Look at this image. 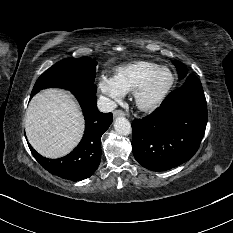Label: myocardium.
I'll list each match as a JSON object with an SVG mask.
<instances>
[{"instance_id": "1", "label": "myocardium", "mask_w": 233, "mask_h": 233, "mask_svg": "<svg viewBox=\"0 0 233 233\" xmlns=\"http://www.w3.org/2000/svg\"><path fill=\"white\" fill-rule=\"evenodd\" d=\"M163 71H166L169 73L168 83L155 97L148 99L146 97V94H147V91L151 83L153 82L155 77ZM174 82H175L174 74L169 68L167 67L157 68L152 73H150L134 91L135 105L137 106L138 109H140L141 111H145V112L153 111L157 109L162 104V102L165 100L169 92L171 91L174 85Z\"/></svg>"}]
</instances>
